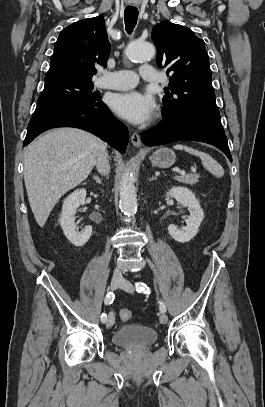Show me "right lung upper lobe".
<instances>
[{"instance_id": "1", "label": "right lung upper lobe", "mask_w": 265, "mask_h": 407, "mask_svg": "<svg viewBox=\"0 0 265 407\" xmlns=\"http://www.w3.org/2000/svg\"><path fill=\"white\" fill-rule=\"evenodd\" d=\"M109 53L110 43L102 16L75 22L60 33L45 81H91L97 72L94 64L106 66Z\"/></svg>"}]
</instances>
